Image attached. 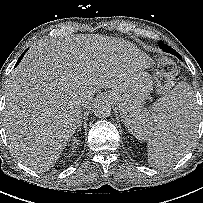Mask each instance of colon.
Here are the masks:
<instances>
[{"label": "colon", "mask_w": 203, "mask_h": 203, "mask_svg": "<svg viewBox=\"0 0 203 203\" xmlns=\"http://www.w3.org/2000/svg\"><path fill=\"white\" fill-rule=\"evenodd\" d=\"M178 73L174 62L165 57H159L156 72L158 90L162 93L167 92L177 80Z\"/></svg>", "instance_id": "1"}]
</instances>
